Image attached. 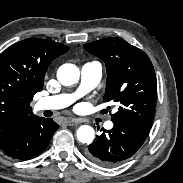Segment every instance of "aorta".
<instances>
[{
  "label": "aorta",
  "instance_id": "1",
  "mask_svg": "<svg viewBox=\"0 0 183 183\" xmlns=\"http://www.w3.org/2000/svg\"><path fill=\"white\" fill-rule=\"evenodd\" d=\"M79 77V68L74 64H63L57 71V79L64 86H70L77 83ZM76 136L79 142L91 144L95 139V131L91 126L82 125L78 128Z\"/></svg>",
  "mask_w": 183,
  "mask_h": 183
}]
</instances>
